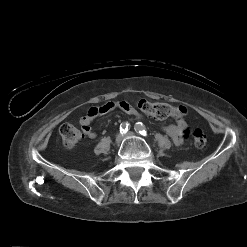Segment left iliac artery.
<instances>
[{
	"mask_svg": "<svg viewBox=\"0 0 247 247\" xmlns=\"http://www.w3.org/2000/svg\"><path fill=\"white\" fill-rule=\"evenodd\" d=\"M134 129L137 133L146 136L147 135V131L145 126L141 123V122H137L134 126Z\"/></svg>",
	"mask_w": 247,
	"mask_h": 247,
	"instance_id": "44dca946",
	"label": "left iliac artery"
}]
</instances>
